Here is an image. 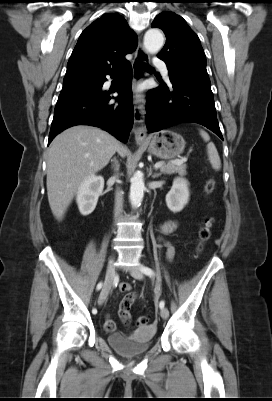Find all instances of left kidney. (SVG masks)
<instances>
[{"label": "left kidney", "mask_w": 272, "mask_h": 401, "mask_svg": "<svg viewBox=\"0 0 272 401\" xmlns=\"http://www.w3.org/2000/svg\"><path fill=\"white\" fill-rule=\"evenodd\" d=\"M189 201L188 182L184 178H176L166 195V204L170 211L180 212Z\"/></svg>", "instance_id": "5707ae66"}]
</instances>
